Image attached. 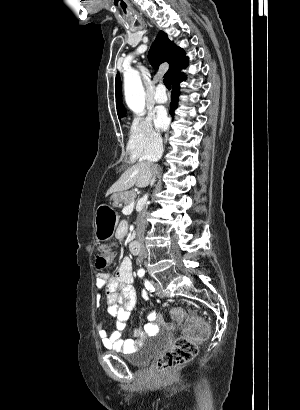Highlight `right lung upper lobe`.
I'll list each match as a JSON object with an SVG mask.
<instances>
[{"mask_svg": "<svg viewBox=\"0 0 300 410\" xmlns=\"http://www.w3.org/2000/svg\"><path fill=\"white\" fill-rule=\"evenodd\" d=\"M184 56L185 52L181 48L175 46L163 31L159 32L148 52V59L154 68H158L163 62L169 64V70L165 76H169L170 79L187 66L188 58L182 59ZM115 85L117 114L118 117L121 118L125 116V108L122 104L121 80L119 74L116 76Z\"/></svg>", "mask_w": 300, "mask_h": 410, "instance_id": "1", "label": "right lung upper lobe"}]
</instances>
